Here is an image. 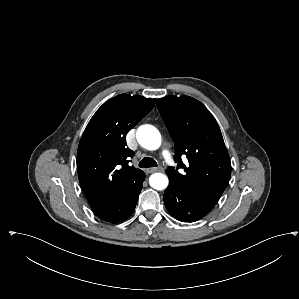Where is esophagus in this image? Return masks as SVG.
Instances as JSON below:
<instances>
[{
  "label": "esophagus",
  "mask_w": 299,
  "mask_h": 299,
  "mask_svg": "<svg viewBox=\"0 0 299 299\" xmlns=\"http://www.w3.org/2000/svg\"><path fill=\"white\" fill-rule=\"evenodd\" d=\"M145 171L146 173L161 172L163 171V168L159 166L157 168H147Z\"/></svg>",
  "instance_id": "obj_1"
}]
</instances>
